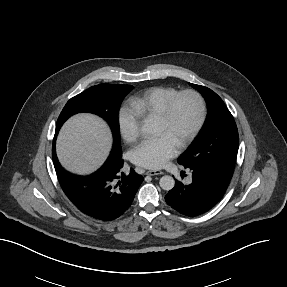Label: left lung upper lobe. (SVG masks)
Returning a JSON list of instances; mask_svg holds the SVG:
<instances>
[{
  "instance_id": "left-lung-upper-lobe-1",
  "label": "left lung upper lobe",
  "mask_w": 287,
  "mask_h": 287,
  "mask_svg": "<svg viewBox=\"0 0 287 287\" xmlns=\"http://www.w3.org/2000/svg\"><path fill=\"white\" fill-rule=\"evenodd\" d=\"M205 98L208 116L199 136L178 158L185 168L205 166L232 175L239 136L232 114L222 99L207 87L190 83Z\"/></svg>"
}]
</instances>
